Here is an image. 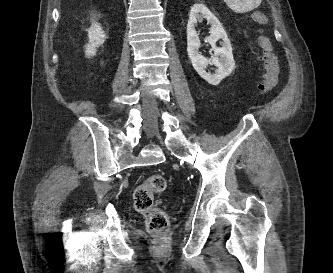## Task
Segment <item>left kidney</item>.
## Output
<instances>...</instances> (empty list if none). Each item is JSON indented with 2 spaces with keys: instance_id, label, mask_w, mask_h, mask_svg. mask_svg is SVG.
<instances>
[{
  "instance_id": "5707ae66",
  "label": "left kidney",
  "mask_w": 333,
  "mask_h": 273,
  "mask_svg": "<svg viewBox=\"0 0 333 273\" xmlns=\"http://www.w3.org/2000/svg\"><path fill=\"white\" fill-rule=\"evenodd\" d=\"M203 18L211 25L208 43L211 45L215 57L209 60L199 53L201 42L195 30V25ZM222 39L221 46L217 47L216 42ZM187 52L196 72L208 83L218 85L227 77L235 67L230 40L215 15L201 3L191 7L187 24ZM208 64L216 66L215 74L207 72Z\"/></svg>"
}]
</instances>
